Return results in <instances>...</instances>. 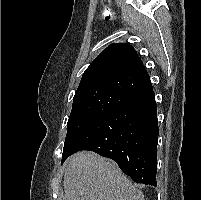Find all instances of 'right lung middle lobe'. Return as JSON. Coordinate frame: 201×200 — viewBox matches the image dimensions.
<instances>
[{"mask_svg":"<svg viewBox=\"0 0 201 200\" xmlns=\"http://www.w3.org/2000/svg\"><path fill=\"white\" fill-rule=\"evenodd\" d=\"M128 97L112 91H89L75 94L67 123L62 161L67 154L68 143L84 128L97 121L113 109L123 105Z\"/></svg>","mask_w":201,"mask_h":200,"instance_id":"dd1d6c3e","label":"right lung middle lobe"}]
</instances>
